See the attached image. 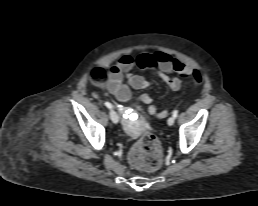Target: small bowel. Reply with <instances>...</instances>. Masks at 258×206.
<instances>
[{"mask_svg": "<svg viewBox=\"0 0 258 206\" xmlns=\"http://www.w3.org/2000/svg\"><path fill=\"white\" fill-rule=\"evenodd\" d=\"M134 68L156 71L173 91L181 88L182 78H191L194 85L199 84L202 79L199 70L161 51L145 53L136 58L123 55L110 68L105 84L106 90L121 102L129 99L131 94L129 86L135 89H145L152 84L143 76L133 73ZM125 80L128 84L125 83ZM142 100L145 103L152 104V99L146 93L142 95ZM149 110L152 115L160 118L166 115V111L157 112L155 105H151Z\"/></svg>", "mask_w": 258, "mask_h": 206, "instance_id": "obj_1", "label": "small bowel"}]
</instances>
